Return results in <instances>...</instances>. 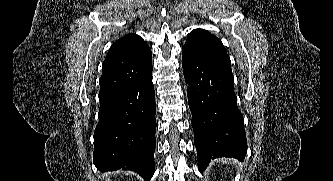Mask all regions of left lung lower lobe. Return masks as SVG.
Returning a JSON list of instances; mask_svg holds the SVG:
<instances>
[{
  "label": "left lung lower lobe",
  "instance_id": "1",
  "mask_svg": "<svg viewBox=\"0 0 333 181\" xmlns=\"http://www.w3.org/2000/svg\"><path fill=\"white\" fill-rule=\"evenodd\" d=\"M182 66L189 83L188 101L199 171L203 172L214 158L233 157L243 161L247 141L232 71L184 48Z\"/></svg>",
  "mask_w": 333,
  "mask_h": 181
}]
</instances>
